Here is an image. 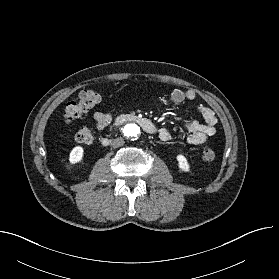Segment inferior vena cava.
Listing matches in <instances>:
<instances>
[{"mask_svg":"<svg viewBox=\"0 0 279 279\" xmlns=\"http://www.w3.org/2000/svg\"><path fill=\"white\" fill-rule=\"evenodd\" d=\"M124 144V139L121 138V137H118L116 139H114L111 143V145L114 147V148H117V147H120Z\"/></svg>","mask_w":279,"mask_h":279,"instance_id":"1","label":"inferior vena cava"}]
</instances>
